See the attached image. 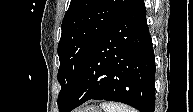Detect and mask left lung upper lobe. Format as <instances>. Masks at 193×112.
Listing matches in <instances>:
<instances>
[{"mask_svg":"<svg viewBox=\"0 0 193 112\" xmlns=\"http://www.w3.org/2000/svg\"><path fill=\"white\" fill-rule=\"evenodd\" d=\"M132 0H71L61 25L58 108L68 98L94 46Z\"/></svg>","mask_w":193,"mask_h":112,"instance_id":"left-lung-upper-lobe-1","label":"left lung upper lobe"}]
</instances>
